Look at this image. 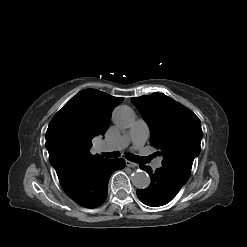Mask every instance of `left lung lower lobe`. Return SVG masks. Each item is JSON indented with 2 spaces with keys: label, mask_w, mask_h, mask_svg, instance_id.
<instances>
[{
  "label": "left lung lower lobe",
  "mask_w": 247,
  "mask_h": 247,
  "mask_svg": "<svg viewBox=\"0 0 247 247\" xmlns=\"http://www.w3.org/2000/svg\"><path fill=\"white\" fill-rule=\"evenodd\" d=\"M151 177V184L147 189L137 190L141 202L151 207H158L170 202L181 187L186 183L172 170L161 167L152 172L149 166L139 165Z\"/></svg>",
  "instance_id": "left-lung-lower-lobe-1"
}]
</instances>
